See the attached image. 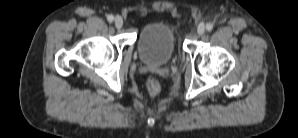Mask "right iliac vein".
I'll use <instances>...</instances> for the list:
<instances>
[{"mask_svg":"<svg viewBox=\"0 0 298 138\" xmlns=\"http://www.w3.org/2000/svg\"><path fill=\"white\" fill-rule=\"evenodd\" d=\"M116 28H121L123 26V19L120 16H117L114 20Z\"/></svg>","mask_w":298,"mask_h":138,"instance_id":"1","label":"right iliac vein"}]
</instances>
